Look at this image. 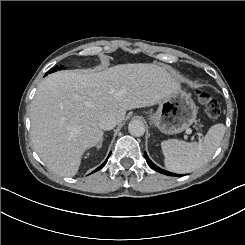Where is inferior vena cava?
<instances>
[{"mask_svg": "<svg viewBox=\"0 0 245 245\" xmlns=\"http://www.w3.org/2000/svg\"><path fill=\"white\" fill-rule=\"evenodd\" d=\"M98 123H99V127L102 129V130H111L115 127L116 125V119L115 117L110 114V113H103L99 120H98Z\"/></svg>", "mask_w": 245, "mask_h": 245, "instance_id": "1", "label": "inferior vena cava"}]
</instances>
